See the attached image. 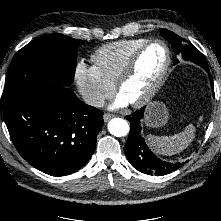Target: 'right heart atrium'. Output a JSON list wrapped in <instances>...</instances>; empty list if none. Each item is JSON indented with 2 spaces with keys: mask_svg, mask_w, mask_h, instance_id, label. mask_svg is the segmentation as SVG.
<instances>
[{
  "mask_svg": "<svg viewBox=\"0 0 221 221\" xmlns=\"http://www.w3.org/2000/svg\"><path fill=\"white\" fill-rule=\"evenodd\" d=\"M74 81L83 101L90 106H99L114 89L94 65L80 61L75 68Z\"/></svg>",
  "mask_w": 221,
  "mask_h": 221,
  "instance_id": "obj_1",
  "label": "right heart atrium"
}]
</instances>
